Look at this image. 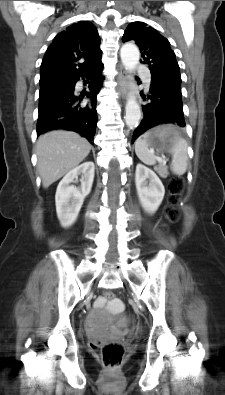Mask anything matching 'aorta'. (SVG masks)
I'll use <instances>...</instances> for the list:
<instances>
[{"mask_svg": "<svg viewBox=\"0 0 225 395\" xmlns=\"http://www.w3.org/2000/svg\"><path fill=\"white\" fill-rule=\"evenodd\" d=\"M120 56L125 69L129 72H133L136 69L140 59V53L137 46L130 43L124 44L121 47ZM125 111L126 125L130 128L137 126L141 119V109L134 94L129 95Z\"/></svg>", "mask_w": 225, "mask_h": 395, "instance_id": "obj_1", "label": "aorta"}]
</instances>
